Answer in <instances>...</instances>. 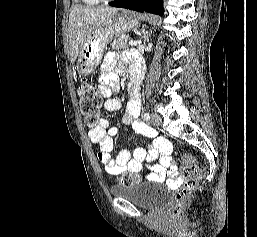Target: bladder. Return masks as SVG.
Instances as JSON below:
<instances>
[{"instance_id": "1", "label": "bladder", "mask_w": 257, "mask_h": 237, "mask_svg": "<svg viewBox=\"0 0 257 237\" xmlns=\"http://www.w3.org/2000/svg\"><path fill=\"white\" fill-rule=\"evenodd\" d=\"M110 193L114 197L127 199L134 205L147 210H156L169 200L168 191L152 181L112 186Z\"/></svg>"}]
</instances>
